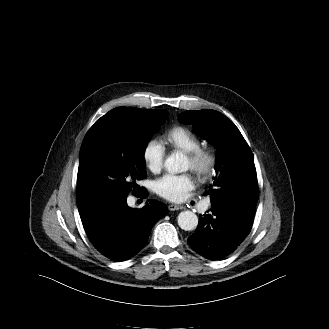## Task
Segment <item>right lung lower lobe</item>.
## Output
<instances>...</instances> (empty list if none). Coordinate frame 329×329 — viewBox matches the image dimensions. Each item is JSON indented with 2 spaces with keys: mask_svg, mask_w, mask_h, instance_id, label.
Wrapping results in <instances>:
<instances>
[{
  "mask_svg": "<svg viewBox=\"0 0 329 329\" xmlns=\"http://www.w3.org/2000/svg\"><path fill=\"white\" fill-rule=\"evenodd\" d=\"M148 195L147 191H144ZM127 195L97 193L80 202L79 214L88 237L104 256L124 261L146 244L153 225L168 212L163 203L148 200L142 209L130 208Z\"/></svg>",
  "mask_w": 329,
  "mask_h": 329,
  "instance_id": "98d812e1",
  "label": "right lung lower lobe"
}]
</instances>
